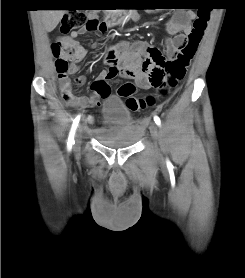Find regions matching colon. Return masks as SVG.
Instances as JSON below:
<instances>
[{
	"label": "colon",
	"instance_id": "obj_1",
	"mask_svg": "<svg viewBox=\"0 0 245 278\" xmlns=\"http://www.w3.org/2000/svg\"><path fill=\"white\" fill-rule=\"evenodd\" d=\"M197 8L196 16L192 23V31L181 53L172 60H167L159 55L153 69L149 73V81L160 90L158 98L161 100H167L170 91L185 77L196 54L198 44L207 28L210 18L209 9L205 6ZM100 23L96 18H87L83 12H70L63 17L60 24V32L68 34L82 29L95 31ZM51 50L56 59V72L60 79H65L67 77L68 62L77 58L81 54V49L68 45L61 40H56L52 42ZM117 93L120 97L126 99L129 109L135 112L144 109L147 105L154 104L156 101V97L152 95L146 98L136 95L131 82L121 84ZM64 98L74 107L88 108L93 105L91 97L88 99H76L68 91H64Z\"/></svg>",
	"mask_w": 245,
	"mask_h": 278
}]
</instances>
